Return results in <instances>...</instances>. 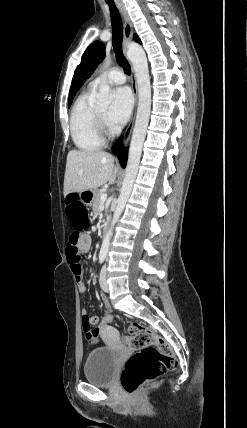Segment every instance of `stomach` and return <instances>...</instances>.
<instances>
[{
    "instance_id": "obj_1",
    "label": "stomach",
    "mask_w": 247,
    "mask_h": 428,
    "mask_svg": "<svg viewBox=\"0 0 247 428\" xmlns=\"http://www.w3.org/2000/svg\"><path fill=\"white\" fill-rule=\"evenodd\" d=\"M95 193L96 190L92 189V190H86L80 193L81 199L83 202L86 203V205H92L95 199ZM84 196V198L82 197Z\"/></svg>"
}]
</instances>
